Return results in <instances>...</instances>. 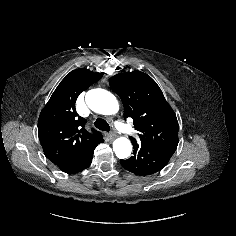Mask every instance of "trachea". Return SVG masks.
<instances>
[{
  "mask_svg": "<svg viewBox=\"0 0 236 236\" xmlns=\"http://www.w3.org/2000/svg\"><path fill=\"white\" fill-rule=\"evenodd\" d=\"M94 124H95V127L99 130L106 131V132L110 131L109 124L107 123V121H105L102 118H97Z\"/></svg>",
  "mask_w": 236,
  "mask_h": 236,
  "instance_id": "obj_1",
  "label": "trachea"
}]
</instances>
